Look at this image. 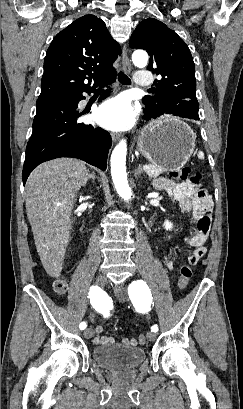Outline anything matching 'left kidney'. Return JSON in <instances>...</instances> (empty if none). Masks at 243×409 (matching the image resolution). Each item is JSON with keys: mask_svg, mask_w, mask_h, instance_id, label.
I'll return each instance as SVG.
<instances>
[{"mask_svg": "<svg viewBox=\"0 0 243 409\" xmlns=\"http://www.w3.org/2000/svg\"><path fill=\"white\" fill-rule=\"evenodd\" d=\"M164 227H165L166 230H171L172 227H173V224L171 222H169L168 220H166L164 222Z\"/></svg>", "mask_w": 243, "mask_h": 409, "instance_id": "1", "label": "left kidney"}]
</instances>
